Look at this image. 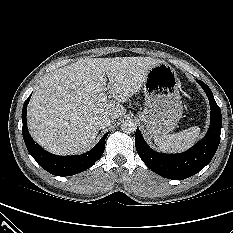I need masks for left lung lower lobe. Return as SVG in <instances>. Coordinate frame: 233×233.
Instances as JSON below:
<instances>
[{
  "instance_id": "obj_1",
  "label": "left lung lower lobe",
  "mask_w": 233,
  "mask_h": 233,
  "mask_svg": "<svg viewBox=\"0 0 233 233\" xmlns=\"http://www.w3.org/2000/svg\"><path fill=\"white\" fill-rule=\"evenodd\" d=\"M210 103V127L203 139L188 151L180 154H163L153 151L144 141L139 129L136 130L135 144L140 158L152 171L172 180H183L203 169L211 159L220 143L222 126L221 111L210 88L198 80Z\"/></svg>"
}]
</instances>
